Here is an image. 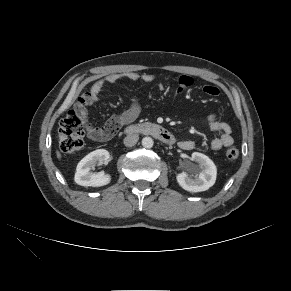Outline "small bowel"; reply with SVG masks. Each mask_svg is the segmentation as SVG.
<instances>
[{"label":"small bowel","instance_id":"1","mask_svg":"<svg viewBox=\"0 0 291 291\" xmlns=\"http://www.w3.org/2000/svg\"><path fill=\"white\" fill-rule=\"evenodd\" d=\"M129 79L131 81H138L142 80L144 82H153L155 80V76L153 74H139L137 72H124V73H113L107 75L93 83L90 89V96L93 101H98L99 93L103 89L106 84L116 83L121 79ZM178 89H177V96L182 95L188 88H190L194 81L191 77L186 75H181L178 77ZM203 91L210 95L216 96L219 94V89L215 85L207 84L203 86ZM141 110L140 100L138 97H134L131 101L130 107L123 112L119 116H115L120 126L124 124H128L134 121ZM208 122L210 128L219 133V136L214 138L210 146L213 150H220L224 147H228L233 144V137L231 135V127L230 125L218 119V117L214 114L208 117ZM89 136L97 141H102L109 139L111 135L109 134L106 125L102 127H95L89 130ZM178 146L183 150H192L195 146V143L191 140H182L178 143Z\"/></svg>","mask_w":291,"mask_h":291}]
</instances>
